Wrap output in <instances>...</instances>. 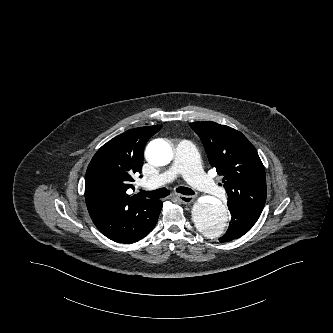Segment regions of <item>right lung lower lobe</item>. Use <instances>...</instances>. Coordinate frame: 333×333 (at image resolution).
Instances as JSON below:
<instances>
[{"instance_id":"98d812e1","label":"right lung lower lobe","mask_w":333,"mask_h":333,"mask_svg":"<svg viewBox=\"0 0 333 333\" xmlns=\"http://www.w3.org/2000/svg\"><path fill=\"white\" fill-rule=\"evenodd\" d=\"M162 202L155 200L138 211L127 223L125 229L115 237L109 238L120 243H134L144 238L156 226Z\"/></svg>"}]
</instances>
